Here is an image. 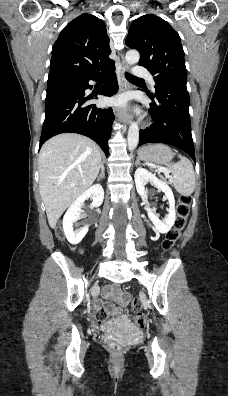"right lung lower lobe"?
<instances>
[{
	"label": "right lung lower lobe",
	"instance_id": "1",
	"mask_svg": "<svg viewBox=\"0 0 228 396\" xmlns=\"http://www.w3.org/2000/svg\"><path fill=\"white\" fill-rule=\"evenodd\" d=\"M104 73L108 79L99 91L100 95L112 96L118 91L115 64H111L86 79H68L48 83L40 146L49 138L64 132L79 133L93 139L108 153V140L114 114L111 108H98L86 103L93 97H84L91 89L89 80H99Z\"/></svg>",
	"mask_w": 228,
	"mask_h": 396
}]
</instances>
